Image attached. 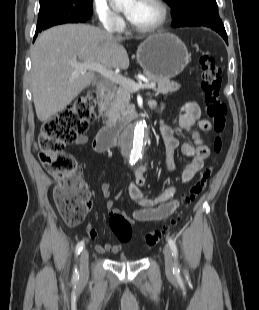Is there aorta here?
I'll return each mask as SVG.
<instances>
[{
    "instance_id": "aorta-1",
    "label": "aorta",
    "mask_w": 259,
    "mask_h": 310,
    "mask_svg": "<svg viewBox=\"0 0 259 310\" xmlns=\"http://www.w3.org/2000/svg\"><path fill=\"white\" fill-rule=\"evenodd\" d=\"M132 0H113L117 8H122ZM146 144L144 122L129 128L123 136L122 146L127 154L140 156Z\"/></svg>"
}]
</instances>
